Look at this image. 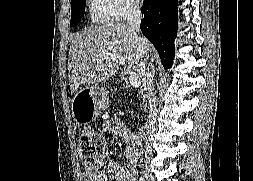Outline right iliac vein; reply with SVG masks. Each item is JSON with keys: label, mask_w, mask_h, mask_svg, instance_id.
I'll list each match as a JSON object with an SVG mask.
<instances>
[{"label": "right iliac vein", "mask_w": 253, "mask_h": 181, "mask_svg": "<svg viewBox=\"0 0 253 181\" xmlns=\"http://www.w3.org/2000/svg\"><path fill=\"white\" fill-rule=\"evenodd\" d=\"M145 181H154L152 175L149 172L145 174Z\"/></svg>", "instance_id": "63e3f726"}]
</instances>
